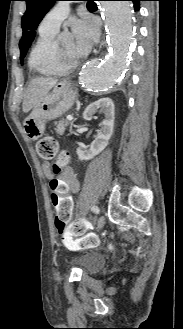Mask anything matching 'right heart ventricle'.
I'll list each match as a JSON object with an SVG mask.
<instances>
[{
	"mask_svg": "<svg viewBox=\"0 0 183 329\" xmlns=\"http://www.w3.org/2000/svg\"><path fill=\"white\" fill-rule=\"evenodd\" d=\"M55 32L39 30L38 38L31 48L28 65L35 73L51 77L62 75L55 64Z\"/></svg>",
	"mask_w": 183,
	"mask_h": 329,
	"instance_id": "e07e8e85",
	"label": "right heart ventricle"
}]
</instances>
